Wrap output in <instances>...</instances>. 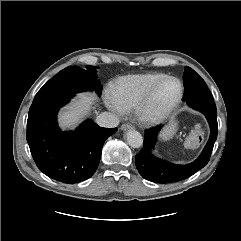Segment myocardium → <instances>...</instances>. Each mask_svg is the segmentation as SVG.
Listing matches in <instances>:
<instances>
[{
    "mask_svg": "<svg viewBox=\"0 0 241 241\" xmlns=\"http://www.w3.org/2000/svg\"><path fill=\"white\" fill-rule=\"evenodd\" d=\"M167 80H174L178 83L179 92L174 101L168 104L166 107L158 110L152 111L151 105L154 100V97L160 88V86ZM184 93V87L181 80L175 76L166 75L157 81L150 90L146 93L143 99L138 103V105L134 108L136 119L139 123L152 126L161 123L164 121L180 104Z\"/></svg>",
    "mask_w": 241,
    "mask_h": 241,
    "instance_id": "f54148a6",
    "label": "myocardium"
}]
</instances>
